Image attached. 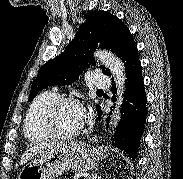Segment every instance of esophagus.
I'll return each mask as SVG.
<instances>
[{"mask_svg": "<svg viewBox=\"0 0 183 179\" xmlns=\"http://www.w3.org/2000/svg\"><path fill=\"white\" fill-rule=\"evenodd\" d=\"M92 140H96V138H95V137H93V138H92Z\"/></svg>", "mask_w": 183, "mask_h": 179, "instance_id": "obj_1", "label": "esophagus"}]
</instances>
